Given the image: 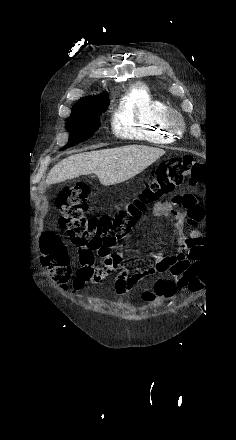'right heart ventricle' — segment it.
<instances>
[{"label": "right heart ventricle", "mask_w": 236, "mask_h": 440, "mask_svg": "<svg viewBox=\"0 0 236 440\" xmlns=\"http://www.w3.org/2000/svg\"><path fill=\"white\" fill-rule=\"evenodd\" d=\"M168 108L147 87L135 85L119 100L113 112V131L124 139L150 144L171 143L174 135L164 121Z\"/></svg>", "instance_id": "e07e8e85"}]
</instances>
